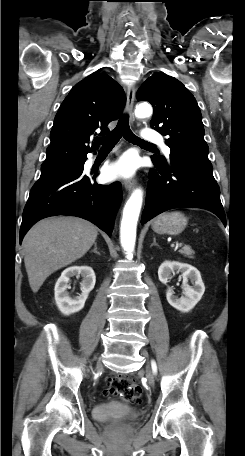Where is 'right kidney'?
<instances>
[{
  "mask_svg": "<svg viewBox=\"0 0 245 456\" xmlns=\"http://www.w3.org/2000/svg\"><path fill=\"white\" fill-rule=\"evenodd\" d=\"M73 276H81V294L70 297L67 291L68 282ZM96 276L91 267L72 266L65 269L55 284V301L58 309L64 315H70L83 309L89 293L93 290Z\"/></svg>",
  "mask_w": 245,
  "mask_h": 456,
  "instance_id": "obj_1",
  "label": "right kidney"
}]
</instances>
